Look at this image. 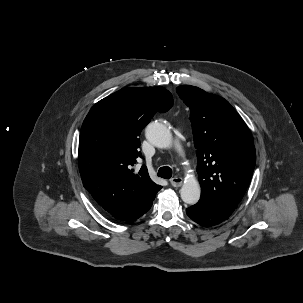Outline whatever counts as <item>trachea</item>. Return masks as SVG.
<instances>
[{
	"label": "trachea",
	"instance_id": "3493384b",
	"mask_svg": "<svg viewBox=\"0 0 303 303\" xmlns=\"http://www.w3.org/2000/svg\"><path fill=\"white\" fill-rule=\"evenodd\" d=\"M158 176L164 179H170L172 176V169L168 166L161 167L158 170Z\"/></svg>",
	"mask_w": 303,
	"mask_h": 303
}]
</instances>
